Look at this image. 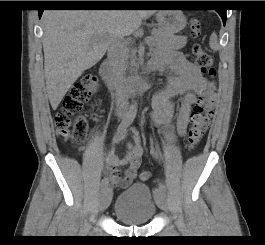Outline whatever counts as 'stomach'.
<instances>
[{
	"mask_svg": "<svg viewBox=\"0 0 265 245\" xmlns=\"http://www.w3.org/2000/svg\"><path fill=\"white\" fill-rule=\"evenodd\" d=\"M156 19L159 28L169 34L180 32L187 24V19L180 10L159 11L156 14Z\"/></svg>",
	"mask_w": 265,
	"mask_h": 245,
	"instance_id": "obj_1",
	"label": "stomach"
}]
</instances>
